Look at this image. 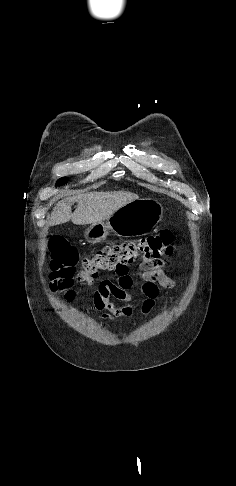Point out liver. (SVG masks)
Listing matches in <instances>:
<instances>
[{
    "label": "liver",
    "instance_id": "6515ba94",
    "mask_svg": "<svg viewBox=\"0 0 236 486\" xmlns=\"http://www.w3.org/2000/svg\"><path fill=\"white\" fill-rule=\"evenodd\" d=\"M138 198L137 194L128 191L90 192L64 198L53 208L49 225H59L70 220L75 225L99 223ZM74 202H77V208L72 213L71 206Z\"/></svg>",
    "mask_w": 236,
    "mask_h": 486
}]
</instances>
